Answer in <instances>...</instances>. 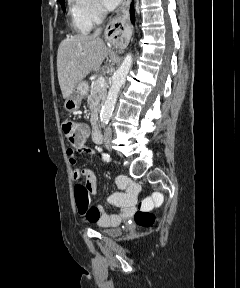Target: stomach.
<instances>
[{
  "label": "stomach",
  "mask_w": 240,
  "mask_h": 288,
  "mask_svg": "<svg viewBox=\"0 0 240 288\" xmlns=\"http://www.w3.org/2000/svg\"><path fill=\"white\" fill-rule=\"evenodd\" d=\"M89 86L86 82H80L76 85L73 90V93L65 101V109L68 112H73L79 109L81 105L82 98L87 95Z\"/></svg>",
  "instance_id": "1"
}]
</instances>
